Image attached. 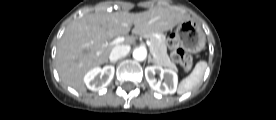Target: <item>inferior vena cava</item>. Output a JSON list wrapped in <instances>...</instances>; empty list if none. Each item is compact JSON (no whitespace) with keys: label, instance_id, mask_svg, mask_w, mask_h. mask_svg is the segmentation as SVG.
Segmentation results:
<instances>
[{"label":"inferior vena cava","instance_id":"602c4592","mask_svg":"<svg viewBox=\"0 0 276 120\" xmlns=\"http://www.w3.org/2000/svg\"><path fill=\"white\" fill-rule=\"evenodd\" d=\"M129 52V45H117L112 49L109 59L111 62H116L121 57H125Z\"/></svg>","mask_w":276,"mask_h":120}]
</instances>
